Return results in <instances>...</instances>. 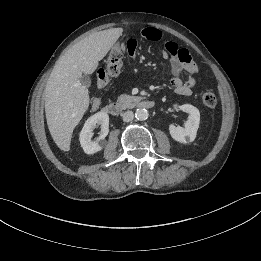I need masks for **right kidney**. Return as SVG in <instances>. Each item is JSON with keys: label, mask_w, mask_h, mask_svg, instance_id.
<instances>
[{"label": "right kidney", "mask_w": 261, "mask_h": 261, "mask_svg": "<svg viewBox=\"0 0 261 261\" xmlns=\"http://www.w3.org/2000/svg\"><path fill=\"white\" fill-rule=\"evenodd\" d=\"M96 125H101L100 135L96 141H92L93 129ZM109 133V115L105 112H98L89 117L81 132H80V144L86 154H94L102 150L106 145L105 137Z\"/></svg>", "instance_id": "right-kidney-1"}]
</instances>
